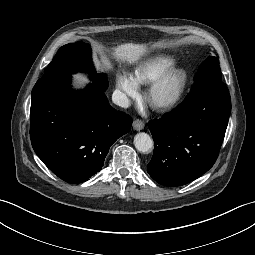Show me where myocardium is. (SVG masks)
<instances>
[{
  "label": "myocardium",
  "mask_w": 255,
  "mask_h": 255,
  "mask_svg": "<svg viewBox=\"0 0 255 255\" xmlns=\"http://www.w3.org/2000/svg\"><path fill=\"white\" fill-rule=\"evenodd\" d=\"M172 81L175 83L168 89ZM187 84V73L181 68L173 67L151 83L144 95L145 102L156 111L169 110L180 102ZM158 94L163 95L157 98Z\"/></svg>",
  "instance_id": "myocardium-1"
}]
</instances>
